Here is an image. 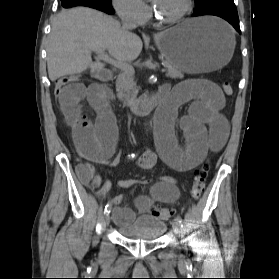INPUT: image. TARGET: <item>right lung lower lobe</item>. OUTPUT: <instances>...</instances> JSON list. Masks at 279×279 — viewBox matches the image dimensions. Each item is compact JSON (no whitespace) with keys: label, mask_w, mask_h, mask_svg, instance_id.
<instances>
[{"label":"right lung lower lobe","mask_w":279,"mask_h":279,"mask_svg":"<svg viewBox=\"0 0 279 279\" xmlns=\"http://www.w3.org/2000/svg\"><path fill=\"white\" fill-rule=\"evenodd\" d=\"M64 8H70L74 6H87L101 10L107 14H114L112 6L104 5L99 0H61Z\"/></svg>","instance_id":"98d812e1"}]
</instances>
